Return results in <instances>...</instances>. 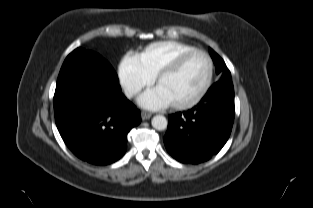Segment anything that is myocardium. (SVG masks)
I'll return each instance as SVG.
<instances>
[{
	"label": "myocardium",
	"mask_w": 313,
	"mask_h": 208,
	"mask_svg": "<svg viewBox=\"0 0 313 208\" xmlns=\"http://www.w3.org/2000/svg\"><path fill=\"white\" fill-rule=\"evenodd\" d=\"M196 54L203 55L208 62V75H207L206 81L202 89L200 90V92L193 99L183 102V103L171 104V107L174 109L184 110V109L192 108L196 106L198 103H200L202 99L207 95L212 85L213 76H214V63H213L211 56L206 51L201 50V49H194V50L185 52L179 55L178 57H176L170 64H168L166 67L161 69L155 75L154 84L157 85L162 79H164L168 75L175 73L188 58Z\"/></svg>",
	"instance_id": "f54148a6"
}]
</instances>
